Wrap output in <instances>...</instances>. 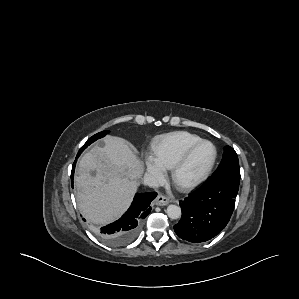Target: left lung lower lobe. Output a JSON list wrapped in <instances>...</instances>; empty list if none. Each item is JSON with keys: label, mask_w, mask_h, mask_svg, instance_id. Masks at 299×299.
Segmentation results:
<instances>
[{"label": "left lung lower lobe", "mask_w": 299, "mask_h": 299, "mask_svg": "<svg viewBox=\"0 0 299 299\" xmlns=\"http://www.w3.org/2000/svg\"><path fill=\"white\" fill-rule=\"evenodd\" d=\"M239 184L208 180L181 204L182 217L174 226L183 240L200 243L219 234L230 220Z\"/></svg>", "instance_id": "0a47b994"}]
</instances>
